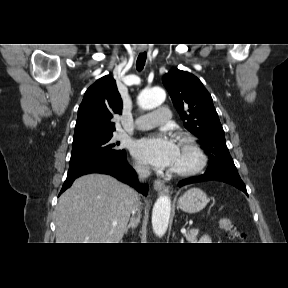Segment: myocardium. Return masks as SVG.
<instances>
[{"instance_id":"f54148a6","label":"myocardium","mask_w":288,"mask_h":288,"mask_svg":"<svg viewBox=\"0 0 288 288\" xmlns=\"http://www.w3.org/2000/svg\"><path fill=\"white\" fill-rule=\"evenodd\" d=\"M179 143L184 146L193 158V162L185 167L172 168L171 173L179 176H189L201 171L206 164V155L196 139L188 133H178Z\"/></svg>"}]
</instances>
